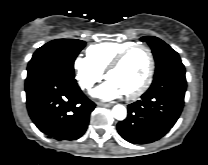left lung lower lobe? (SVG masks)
<instances>
[{"mask_svg": "<svg viewBox=\"0 0 208 165\" xmlns=\"http://www.w3.org/2000/svg\"><path fill=\"white\" fill-rule=\"evenodd\" d=\"M187 87L184 66L156 76L141 99L128 105V116L117 124L118 133L130 143L146 144L163 137L178 120Z\"/></svg>", "mask_w": 208, "mask_h": 165, "instance_id": "1", "label": "left lung lower lobe"}]
</instances>
